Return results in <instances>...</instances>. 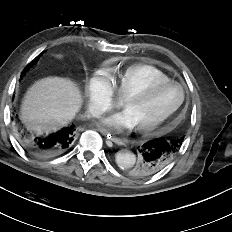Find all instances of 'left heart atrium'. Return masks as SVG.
Listing matches in <instances>:
<instances>
[{
	"label": "left heart atrium",
	"instance_id": "left-heart-atrium-1",
	"mask_svg": "<svg viewBox=\"0 0 232 232\" xmlns=\"http://www.w3.org/2000/svg\"><path fill=\"white\" fill-rule=\"evenodd\" d=\"M102 123L110 130L121 133L124 130L135 127L134 119L128 111H123L102 120Z\"/></svg>",
	"mask_w": 232,
	"mask_h": 232
}]
</instances>
